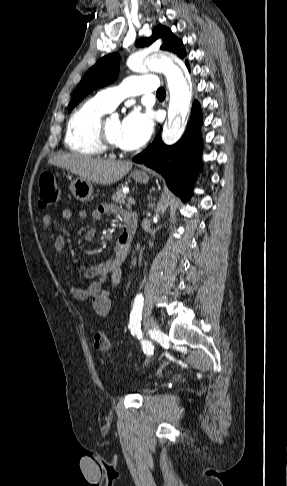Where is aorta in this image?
Segmentation results:
<instances>
[{
    "label": "aorta",
    "instance_id": "obj_1",
    "mask_svg": "<svg viewBox=\"0 0 287 486\" xmlns=\"http://www.w3.org/2000/svg\"><path fill=\"white\" fill-rule=\"evenodd\" d=\"M127 66L132 71L147 67L150 70L161 71L166 76L170 103L163 140L166 144L177 142L184 132L191 102L190 79L182 62L164 54H152L144 58L130 57Z\"/></svg>",
    "mask_w": 287,
    "mask_h": 486
}]
</instances>
